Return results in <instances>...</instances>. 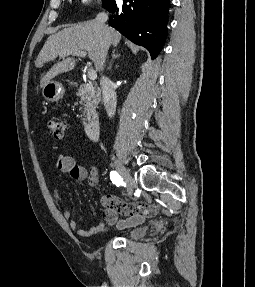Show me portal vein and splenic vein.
I'll return each instance as SVG.
<instances>
[{
	"mask_svg": "<svg viewBox=\"0 0 255 287\" xmlns=\"http://www.w3.org/2000/svg\"><path fill=\"white\" fill-rule=\"evenodd\" d=\"M76 56H80V58H85L86 52H77ZM89 80H96L97 74L95 70H88Z\"/></svg>",
	"mask_w": 255,
	"mask_h": 287,
	"instance_id": "1",
	"label": "portal vein and splenic vein"
}]
</instances>
